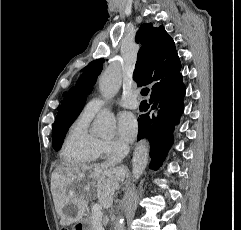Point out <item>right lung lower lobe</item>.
Wrapping results in <instances>:
<instances>
[{"label": "right lung lower lobe", "instance_id": "1", "mask_svg": "<svg viewBox=\"0 0 241 230\" xmlns=\"http://www.w3.org/2000/svg\"><path fill=\"white\" fill-rule=\"evenodd\" d=\"M181 67L153 86L150 103L156 109L154 116L148 112L138 119V139L147 138L150 143V168L157 170L164 161L172 143L174 126L184 110L185 86L180 74Z\"/></svg>", "mask_w": 241, "mask_h": 230}]
</instances>
